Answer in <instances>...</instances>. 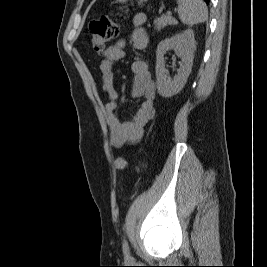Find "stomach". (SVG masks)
<instances>
[{
  "mask_svg": "<svg viewBox=\"0 0 267 267\" xmlns=\"http://www.w3.org/2000/svg\"><path fill=\"white\" fill-rule=\"evenodd\" d=\"M147 0H140V2H146ZM116 2L125 3L128 2V0H116Z\"/></svg>",
  "mask_w": 267,
  "mask_h": 267,
  "instance_id": "stomach-1",
  "label": "stomach"
}]
</instances>
